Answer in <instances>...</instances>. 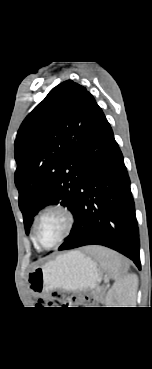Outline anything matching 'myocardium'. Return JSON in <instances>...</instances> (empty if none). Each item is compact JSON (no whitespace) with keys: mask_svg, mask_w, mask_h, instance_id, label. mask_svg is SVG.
I'll return each instance as SVG.
<instances>
[{"mask_svg":"<svg viewBox=\"0 0 152 369\" xmlns=\"http://www.w3.org/2000/svg\"><path fill=\"white\" fill-rule=\"evenodd\" d=\"M51 212L60 213L64 217L65 227H64L62 235L59 237V239L55 243H53L50 246H44L39 241L38 230H39V226H40V222L42 218ZM74 222H75V216L73 212L71 211V209L67 207L66 205L61 204V203H54V204L47 205L38 213L35 219L34 228H33V239H34L35 244L39 248L44 249V250H51L57 247L71 234L73 226H74Z\"/></svg>","mask_w":152,"mask_h":369,"instance_id":"myocardium-1","label":"myocardium"}]
</instances>
